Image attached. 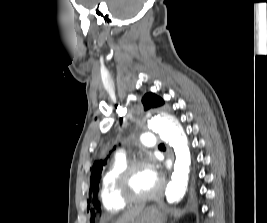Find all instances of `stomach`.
Masks as SVG:
<instances>
[{"label": "stomach", "instance_id": "0dacf381", "mask_svg": "<svg viewBox=\"0 0 267 223\" xmlns=\"http://www.w3.org/2000/svg\"><path fill=\"white\" fill-rule=\"evenodd\" d=\"M128 223H164V214L159 206H147L136 218Z\"/></svg>", "mask_w": 267, "mask_h": 223}]
</instances>
